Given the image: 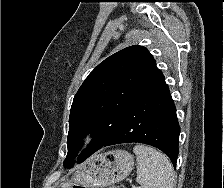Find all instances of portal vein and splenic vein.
<instances>
[{
	"label": "portal vein and splenic vein",
	"instance_id": "obj_1",
	"mask_svg": "<svg viewBox=\"0 0 224 188\" xmlns=\"http://www.w3.org/2000/svg\"><path fill=\"white\" fill-rule=\"evenodd\" d=\"M132 188H138V187H136L135 185H132Z\"/></svg>",
	"mask_w": 224,
	"mask_h": 188
}]
</instances>
